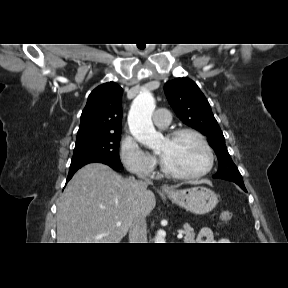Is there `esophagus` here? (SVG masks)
<instances>
[{"label":"esophagus","mask_w":288,"mask_h":288,"mask_svg":"<svg viewBox=\"0 0 288 288\" xmlns=\"http://www.w3.org/2000/svg\"><path fill=\"white\" fill-rule=\"evenodd\" d=\"M162 191H164L165 193H171L173 192V189L171 187H169L168 185H163L162 186Z\"/></svg>","instance_id":"esophagus-1"}]
</instances>
